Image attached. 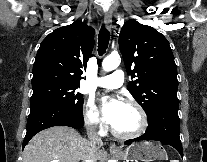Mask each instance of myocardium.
I'll return each mask as SVG.
<instances>
[{"mask_svg": "<svg viewBox=\"0 0 207 162\" xmlns=\"http://www.w3.org/2000/svg\"><path fill=\"white\" fill-rule=\"evenodd\" d=\"M122 103H125V104H129V105H132L134 106L139 115H140V126L138 127V129H136L135 131L133 132H130V133H122L118 130H116L112 125H111V132L112 134L117 137V138H121V139H131V138H135V137H138L140 136L142 133L145 132V130L147 129L148 127V116H147V113L145 111V109L143 108V106L134 98H126L123 100Z\"/></svg>", "mask_w": 207, "mask_h": 162, "instance_id": "1", "label": "myocardium"}]
</instances>
